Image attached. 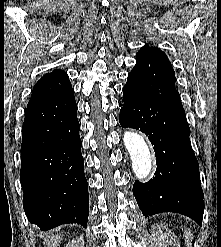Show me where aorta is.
Wrapping results in <instances>:
<instances>
[{
    "mask_svg": "<svg viewBox=\"0 0 221 247\" xmlns=\"http://www.w3.org/2000/svg\"><path fill=\"white\" fill-rule=\"evenodd\" d=\"M123 141L130 154L136 177L140 180L146 178L152 168L151 153L146 140L137 132L127 131L124 133Z\"/></svg>",
    "mask_w": 221,
    "mask_h": 247,
    "instance_id": "762f6f07",
    "label": "aorta"
}]
</instances>
